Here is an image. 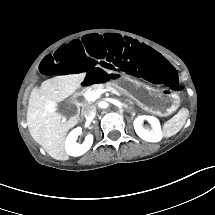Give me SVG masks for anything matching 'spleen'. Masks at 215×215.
I'll return each mask as SVG.
<instances>
[{
	"mask_svg": "<svg viewBox=\"0 0 215 215\" xmlns=\"http://www.w3.org/2000/svg\"><path fill=\"white\" fill-rule=\"evenodd\" d=\"M187 114L182 111L178 112L169 121L164 124L163 134L165 137H170L176 134L184 125Z\"/></svg>",
	"mask_w": 215,
	"mask_h": 215,
	"instance_id": "1",
	"label": "spleen"
}]
</instances>
